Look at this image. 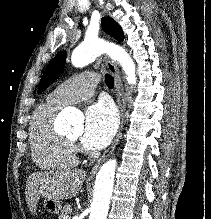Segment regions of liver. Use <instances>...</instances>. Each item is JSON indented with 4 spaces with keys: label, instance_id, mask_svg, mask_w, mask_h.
Listing matches in <instances>:
<instances>
[{
    "label": "liver",
    "instance_id": "1",
    "mask_svg": "<svg viewBox=\"0 0 211 219\" xmlns=\"http://www.w3.org/2000/svg\"><path fill=\"white\" fill-rule=\"evenodd\" d=\"M86 172L81 169L35 172L26 183V201L29 210L35 214L40 198L54 200L71 199L82 188Z\"/></svg>",
    "mask_w": 211,
    "mask_h": 219
}]
</instances>
